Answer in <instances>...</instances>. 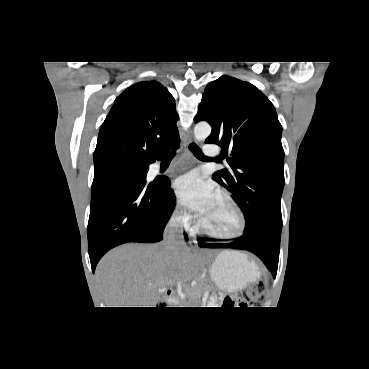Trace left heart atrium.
Returning a JSON list of instances; mask_svg holds the SVG:
<instances>
[{
    "mask_svg": "<svg viewBox=\"0 0 369 369\" xmlns=\"http://www.w3.org/2000/svg\"><path fill=\"white\" fill-rule=\"evenodd\" d=\"M174 191L181 203L202 216L218 196L214 185L197 172H190L174 181Z\"/></svg>",
    "mask_w": 369,
    "mask_h": 369,
    "instance_id": "obj_1",
    "label": "left heart atrium"
}]
</instances>
